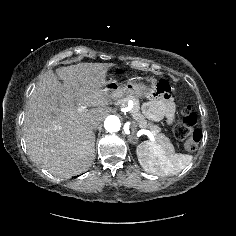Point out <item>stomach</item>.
<instances>
[{
  "instance_id": "1",
  "label": "stomach",
  "mask_w": 236,
  "mask_h": 236,
  "mask_svg": "<svg viewBox=\"0 0 236 236\" xmlns=\"http://www.w3.org/2000/svg\"><path fill=\"white\" fill-rule=\"evenodd\" d=\"M108 94L113 98L131 97L135 102L150 94V86L140 79H128L124 82L109 80L105 85Z\"/></svg>"
}]
</instances>
